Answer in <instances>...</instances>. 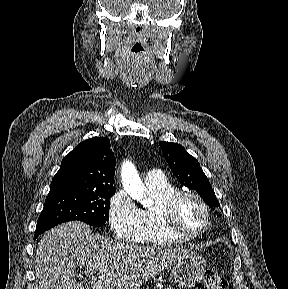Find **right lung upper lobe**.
Returning <instances> with one entry per match:
<instances>
[{
	"mask_svg": "<svg viewBox=\"0 0 288 289\" xmlns=\"http://www.w3.org/2000/svg\"><path fill=\"white\" fill-rule=\"evenodd\" d=\"M115 163L109 139L94 137L83 141L62 160L50 191L113 189Z\"/></svg>",
	"mask_w": 288,
	"mask_h": 289,
	"instance_id": "right-lung-upper-lobe-1",
	"label": "right lung upper lobe"
}]
</instances>
